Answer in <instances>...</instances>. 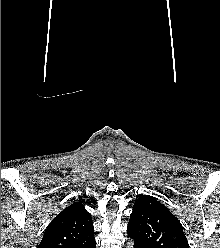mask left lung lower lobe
Listing matches in <instances>:
<instances>
[{
  "mask_svg": "<svg viewBox=\"0 0 220 248\" xmlns=\"http://www.w3.org/2000/svg\"><path fill=\"white\" fill-rule=\"evenodd\" d=\"M131 235L128 233V237H130ZM132 237V236H131ZM133 238V237H132ZM134 239V238H133ZM134 248H145L144 245L140 244L138 241H136L134 239Z\"/></svg>",
  "mask_w": 220,
  "mask_h": 248,
  "instance_id": "obj_1",
  "label": "left lung lower lobe"
}]
</instances>
